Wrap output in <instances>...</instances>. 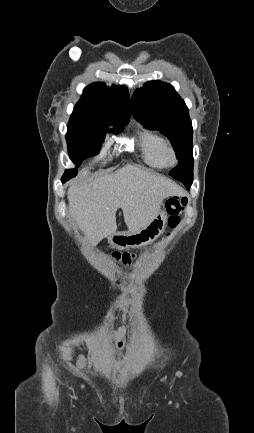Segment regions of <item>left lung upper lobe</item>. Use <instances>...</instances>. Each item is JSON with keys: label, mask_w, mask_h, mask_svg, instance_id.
<instances>
[{"label": "left lung upper lobe", "mask_w": 254, "mask_h": 433, "mask_svg": "<svg viewBox=\"0 0 254 433\" xmlns=\"http://www.w3.org/2000/svg\"><path fill=\"white\" fill-rule=\"evenodd\" d=\"M135 118L168 137L179 163L170 175L185 186L193 182L192 123L184 100L174 88L161 81H149L132 98Z\"/></svg>", "instance_id": "1"}]
</instances>
